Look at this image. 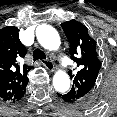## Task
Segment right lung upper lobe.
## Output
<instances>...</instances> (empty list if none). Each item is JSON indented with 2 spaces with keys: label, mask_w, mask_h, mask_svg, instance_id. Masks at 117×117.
I'll list each match as a JSON object with an SVG mask.
<instances>
[{
  "label": "right lung upper lobe",
  "mask_w": 117,
  "mask_h": 117,
  "mask_svg": "<svg viewBox=\"0 0 117 117\" xmlns=\"http://www.w3.org/2000/svg\"><path fill=\"white\" fill-rule=\"evenodd\" d=\"M26 55V48L19 40L18 28L0 30V99L13 101L28 83L27 73L32 68L19 60Z\"/></svg>",
  "instance_id": "cb5924a9"
}]
</instances>
